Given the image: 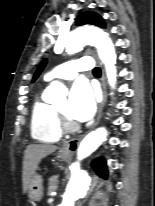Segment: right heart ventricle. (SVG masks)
Segmentation results:
<instances>
[{"label": "right heart ventricle", "instance_id": "right-heart-ventricle-1", "mask_svg": "<svg viewBox=\"0 0 155 206\" xmlns=\"http://www.w3.org/2000/svg\"><path fill=\"white\" fill-rule=\"evenodd\" d=\"M30 127L33 138L44 143L56 142L62 135L54 106L41 95L33 103Z\"/></svg>", "mask_w": 155, "mask_h": 206}]
</instances>
